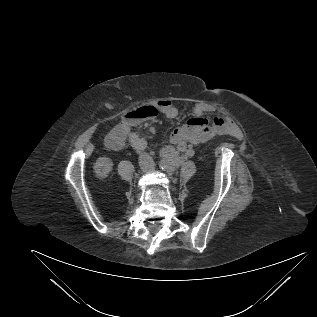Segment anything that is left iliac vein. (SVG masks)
Listing matches in <instances>:
<instances>
[{"mask_svg":"<svg viewBox=\"0 0 317 317\" xmlns=\"http://www.w3.org/2000/svg\"><path fill=\"white\" fill-rule=\"evenodd\" d=\"M173 164H174V163H173ZM168 172H169V173H170V172H172V169H171V168H169V169H168Z\"/></svg>","mask_w":317,"mask_h":317,"instance_id":"left-iliac-vein-1","label":"left iliac vein"}]
</instances>
